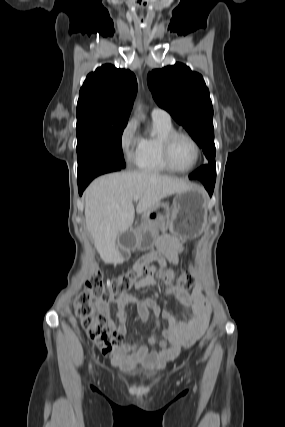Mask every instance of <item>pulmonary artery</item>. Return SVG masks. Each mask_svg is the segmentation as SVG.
I'll use <instances>...</instances> for the list:
<instances>
[{"label": "pulmonary artery", "mask_w": 285, "mask_h": 427, "mask_svg": "<svg viewBox=\"0 0 285 427\" xmlns=\"http://www.w3.org/2000/svg\"><path fill=\"white\" fill-rule=\"evenodd\" d=\"M151 116L153 119L171 121L170 114L162 108H158V107L153 108L151 111Z\"/></svg>", "instance_id": "1"}]
</instances>
